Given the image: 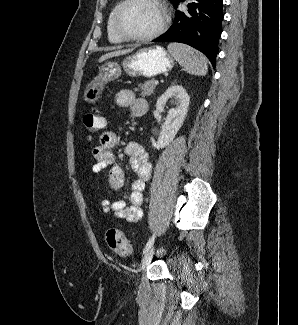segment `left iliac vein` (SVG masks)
<instances>
[{
	"label": "left iliac vein",
	"mask_w": 298,
	"mask_h": 325,
	"mask_svg": "<svg viewBox=\"0 0 298 325\" xmlns=\"http://www.w3.org/2000/svg\"><path fill=\"white\" fill-rule=\"evenodd\" d=\"M154 251H155V246H151V248L147 252H145L141 260V263L139 265L140 271H144L147 268V266L150 264L153 258Z\"/></svg>",
	"instance_id": "1"
}]
</instances>
